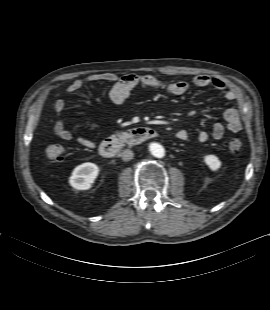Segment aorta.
<instances>
[{
  "mask_svg": "<svg viewBox=\"0 0 270 310\" xmlns=\"http://www.w3.org/2000/svg\"><path fill=\"white\" fill-rule=\"evenodd\" d=\"M150 151L151 154L157 158H162L165 155V150L162 145L158 143H151L150 144Z\"/></svg>",
  "mask_w": 270,
  "mask_h": 310,
  "instance_id": "aorta-1",
  "label": "aorta"
}]
</instances>
